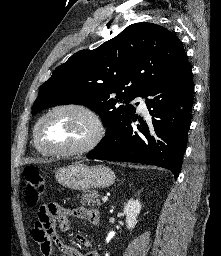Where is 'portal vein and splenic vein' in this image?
Wrapping results in <instances>:
<instances>
[{"instance_id":"18ae733b","label":"portal vein and splenic vein","mask_w":221,"mask_h":256,"mask_svg":"<svg viewBox=\"0 0 221 256\" xmlns=\"http://www.w3.org/2000/svg\"><path fill=\"white\" fill-rule=\"evenodd\" d=\"M102 201H103V202H107V201H108V197H107V196H103V197H102Z\"/></svg>"}]
</instances>
